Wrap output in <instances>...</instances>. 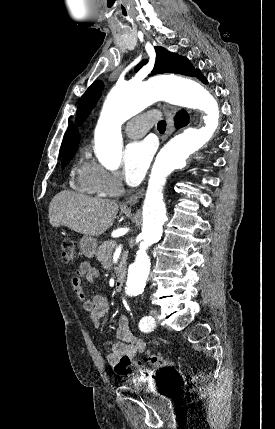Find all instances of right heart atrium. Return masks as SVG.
Listing matches in <instances>:
<instances>
[{
    "instance_id": "obj_1",
    "label": "right heart atrium",
    "mask_w": 275,
    "mask_h": 429,
    "mask_svg": "<svg viewBox=\"0 0 275 429\" xmlns=\"http://www.w3.org/2000/svg\"><path fill=\"white\" fill-rule=\"evenodd\" d=\"M92 174L96 185L105 195L115 196L122 191V182L116 173L93 164Z\"/></svg>"
}]
</instances>
